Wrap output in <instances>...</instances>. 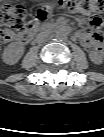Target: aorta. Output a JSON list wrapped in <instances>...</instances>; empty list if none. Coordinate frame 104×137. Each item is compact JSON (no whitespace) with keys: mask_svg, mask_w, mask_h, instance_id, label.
<instances>
[{"mask_svg":"<svg viewBox=\"0 0 104 137\" xmlns=\"http://www.w3.org/2000/svg\"><path fill=\"white\" fill-rule=\"evenodd\" d=\"M66 35H67L66 32H64L63 30H59L56 32L55 37L57 39H64Z\"/></svg>","mask_w":104,"mask_h":137,"instance_id":"1","label":"aorta"}]
</instances>
